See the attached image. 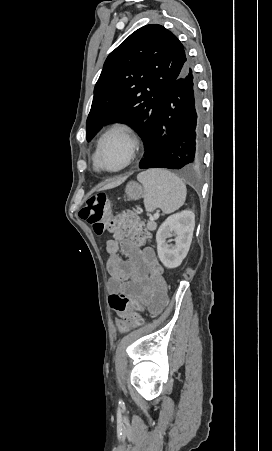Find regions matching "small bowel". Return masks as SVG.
I'll use <instances>...</instances> for the list:
<instances>
[{"label":"small bowel","instance_id":"1","mask_svg":"<svg viewBox=\"0 0 272 451\" xmlns=\"http://www.w3.org/2000/svg\"><path fill=\"white\" fill-rule=\"evenodd\" d=\"M127 238H115L105 243L106 270L111 294H128L136 299L149 297L153 310H160L166 301L163 293V268L150 247L139 249ZM121 252L126 259H124Z\"/></svg>","mask_w":272,"mask_h":451}]
</instances>
